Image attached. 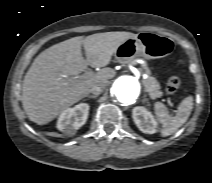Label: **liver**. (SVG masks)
Listing matches in <instances>:
<instances>
[{
	"instance_id": "1",
	"label": "liver",
	"mask_w": 212,
	"mask_h": 183,
	"mask_svg": "<svg viewBox=\"0 0 212 183\" xmlns=\"http://www.w3.org/2000/svg\"><path fill=\"white\" fill-rule=\"evenodd\" d=\"M136 35L131 32H105L85 38L77 36L41 52L23 81L22 104L29 119L45 125L86 97L94 84L107 85L115 71L106 66L119 46ZM82 45L86 59L82 56ZM88 65L103 68L89 76H79Z\"/></svg>"
}]
</instances>
